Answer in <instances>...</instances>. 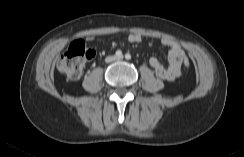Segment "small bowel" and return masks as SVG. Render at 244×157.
<instances>
[{
  "instance_id": "small-bowel-1",
  "label": "small bowel",
  "mask_w": 244,
  "mask_h": 157,
  "mask_svg": "<svg viewBox=\"0 0 244 157\" xmlns=\"http://www.w3.org/2000/svg\"><path fill=\"white\" fill-rule=\"evenodd\" d=\"M127 40L131 43H139L142 41L140 34L128 33ZM93 38L88 37L91 41ZM161 44L169 49L168 64L164 65L158 58L152 57L149 60L150 66L153 68L155 75L163 80L173 81L181 74V66L185 53L181 46L172 38L164 37L160 40Z\"/></svg>"
}]
</instances>
